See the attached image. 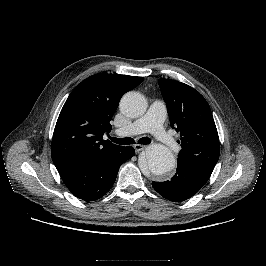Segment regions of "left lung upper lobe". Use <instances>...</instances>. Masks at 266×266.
<instances>
[{
	"instance_id": "1",
	"label": "left lung upper lobe",
	"mask_w": 266,
	"mask_h": 266,
	"mask_svg": "<svg viewBox=\"0 0 266 266\" xmlns=\"http://www.w3.org/2000/svg\"><path fill=\"white\" fill-rule=\"evenodd\" d=\"M172 128L180 133L182 150L177 165L206 178L218 161L220 144L211 109L194 88L169 79H159Z\"/></svg>"
}]
</instances>
